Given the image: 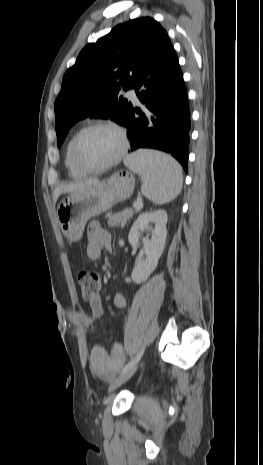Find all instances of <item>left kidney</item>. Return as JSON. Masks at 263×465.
Returning a JSON list of instances; mask_svg holds the SVG:
<instances>
[{"mask_svg":"<svg viewBox=\"0 0 263 465\" xmlns=\"http://www.w3.org/2000/svg\"><path fill=\"white\" fill-rule=\"evenodd\" d=\"M167 213L164 210L145 212L141 214L132 225L128 240L132 246L139 244L140 234L153 225L151 238H145L143 247L139 252L138 260L131 274V279L126 278V282L131 280L135 283L145 281L157 267L161 257L167 237Z\"/></svg>","mask_w":263,"mask_h":465,"instance_id":"5707ae66","label":"left kidney"}]
</instances>
